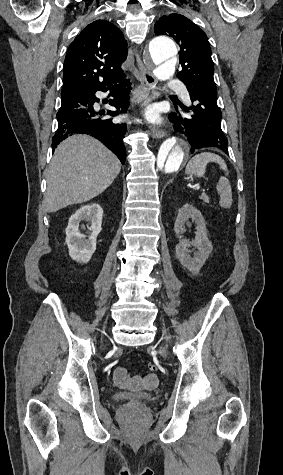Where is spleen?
Listing matches in <instances>:
<instances>
[{"label":"spleen","mask_w":283,"mask_h":475,"mask_svg":"<svg viewBox=\"0 0 283 475\" xmlns=\"http://www.w3.org/2000/svg\"><path fill=\"white\" fill-rule=\"evenodd\" d=\"M209 162H215L219 164L220 170L225 172V176H228L227 166L217 154H211V152H202V154H197L194 156L190 162H188L185 170V174H190V176H197V178H202L206 172V166ZM216 190L220 194L219 206L221 208H230L232 206V192L231 186L228 178H220Z\"/></svg>","instance_id":"obj_1"}]
</instances>
